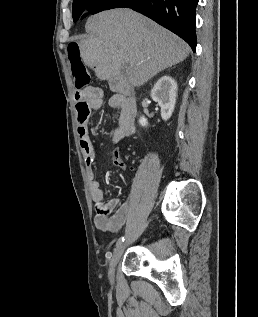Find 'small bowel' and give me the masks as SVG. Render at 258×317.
I'll return each mask as SVG.
<instances>
[{
	"instance_id": "obj_1",
	"label": "small bowel",
	"mask_w": 258,
	"mask_h": 317,
	"mask_svg": "<svg viewBox=\"0 0 258 317\" xmlns=\"http://www.w3.org/2000/svg\"><path fill=\"white\" fill-rule=\"evenodd\" d=\"M101 105V90L97 87L88 88L85 91V98L77 102L75 106L77 133L87 167L89 192L96 210L94 217L95 226L101 231L116 233L125 224L132 211V200L129 198L122 201L116 198L105 200L100 183L95 179L93 164L96 160V148L89 136L88 122L92 112L99 109ZM109 105L119 112L117 125L113 133V142L116 143L133 133L136 105L134 101L121 94L113 95L109 100ZM113 163L120 169H126V164L118 153H115Z\"/></svg>"
}]
</instances>
